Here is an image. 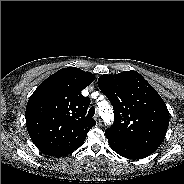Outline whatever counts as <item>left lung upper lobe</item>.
Listing matches in <instances>:
<instances>
[{"instance_id":"1","label":"left lung upper lobe","mask_w":184,"mask_h":184,"mask_svg":"<svg viewBox=\"0 0 184 184\" xmlns=\"http://www.w3.org/2000/svg\"><path fill=\"white\" fill-rule=\"evenodd\" d=\"M98 87L114 108L115 121L105 134L155 152L169 126V111L157 91L133 70L101 75Z\"/></svg>"}]
</instances>
